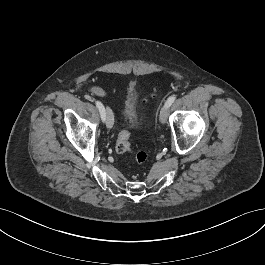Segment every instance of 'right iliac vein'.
Masks as SVG:
<instances>
[{
	"label": "right iliac vein",
	"instance_id": "obj_1",
	"mask_svg": "<svg viewBox=\"0 0 265 265\" xmlns=\"http://www.w3.org/2000/svg\"><path fill=\"white\" fill-rule=\"evenodd\" d=\"M105 121H106L107 128L111 129L114 124V117L109 107H106V110H105Z\"/></svg>",
	"mask_w": 265,
	"mask_h": 265
}]
</instances>
